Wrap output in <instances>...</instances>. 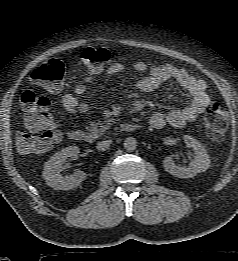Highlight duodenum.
<instances>
[{
  "mask_svg": "<svg viewBox=\"0 0 238 261\" xmlns=\"http://www.w3.org/2000/svg\"><path fill=\"white\" fill-rule=\"evenodd\" d=\"M139 128V125L136 123H123L120 126L122 132H133ZM69 138L76 143H92L94 137L91 133L84 130H73L69 134Z\"/></svg>",
  "mask_w": 238,
  "mask_h": 261,
  "instance_id": "410a0bca",
  "label": "duodenum"
}]
</instances>
